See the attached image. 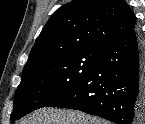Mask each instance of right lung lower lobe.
<instances>
[{
  "instance_id": "right-lung-lower-lobe-1",
  "label": "right lung lower lobe",
  "mask_w": 145,
  "mask_h": 124,
  "mask_svg": "<svg viewBox=\"0 0 145 124\" xmlns=\"http://www.w3.org/2000/svg\"><path fill=\"white\" fill-rule=\"evenodd\" d=\"M139 32L108 45L85 77L45 107L79 110L117 124H132L145 107V61Z\"/></svg>"
}]
</instances>
